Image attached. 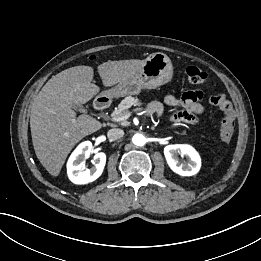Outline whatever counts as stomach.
I'll list each match as a JSON object with an SVG mask.
<instances>
[{"mask_svg": "<svg viewBox=\"0 0 261 261\" xmlns=\"http://www.w3.org/2000/svg\"><path fill=\"white\" fill-rule=\"evenodd\" d=\"M172 76L173 66L170 58L161 52L153 53L133 77L119 82L104 94L110 98L137 95L143 89H155L170 82Z\"/></svg>", "mask_w": 261, "mask_h": 261, "instance_id": "0dacf381", "label": "stomach"}]
</instances>
